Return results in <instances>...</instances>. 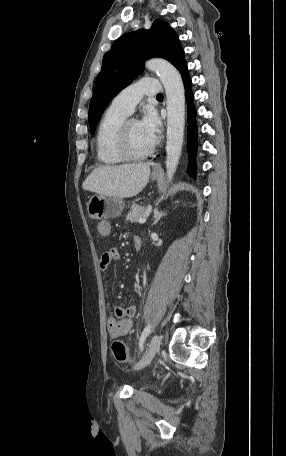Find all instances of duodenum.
Returning a JSON list of instances; mask_svg holds the SVG:
<instances>
[{
	"label": "duodenum",
	"instance_id": "1",
	"mask_svg": "<svg viewBox=\"0 0 286 456\" xmlns=\"http://www.w3.org/2000/svg\"><path fill=\"white\" fill-rule=\"evenodd\" d=\"M134 248L140 250L142 247V238L140 236H135L133 238Z\"/></svg>",
	"mask_w": 286,
	"mask_h": 456
}]
</instances>
